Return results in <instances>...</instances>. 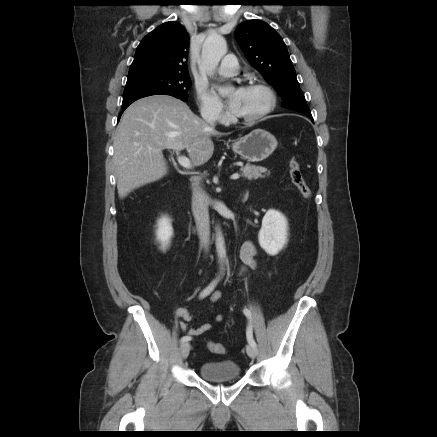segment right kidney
Here are the masks:
<instances>
[{"mask_svg": "<svg viewBox=\"0 0 437 437\" xmlns=\"http://www.w3.org/2000/svg\"><path fill=\"white\" fill-rule=\"evenodd\" d=\"M156 236L161 244V249L165 250L173 236V228L168 217L164 216L158 220Z\"/></svg>", "mask_w": 437, "mask_h": 437, "instance_id": "1", "label": "right kidney"}]
</instances>
